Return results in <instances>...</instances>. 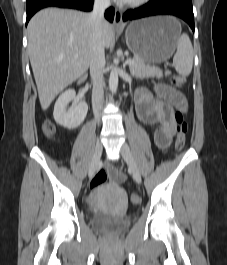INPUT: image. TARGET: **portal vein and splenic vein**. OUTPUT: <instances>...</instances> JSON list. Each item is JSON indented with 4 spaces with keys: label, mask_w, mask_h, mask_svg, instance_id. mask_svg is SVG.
<instances>
[{
    "label": "portal vein and splenic vein",
    "mask_w": 227,
    "mask_h": 265,
    "mask_svg": "<svg viewBox=\"0 0 227 265\" xmlns=\"http://www.w3.org/2000/svg\"><path fill=\"white\" fill-rule=\"evenodd\" d=\"M126 63L129 64V65H131V64H133L134 62H133L132 59H128V60L126 61Z\"/></svg>",
    "instance_id": "portal-vein-and-splenic-vein-1"
}]
</instances>
